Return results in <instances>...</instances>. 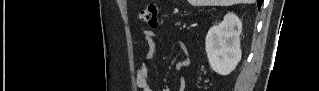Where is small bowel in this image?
I'll return each instance as SVG.
<instances>
[{
  "label": "small bowel",
  "mask_w": 319,
  "mask_h": 91,
  "mask_svg": "<svg viewBox=\"0 0 319 91\" xmlns=\"http://www.w3.org/2000/svg\"><path fill=\"white\" fill-rule=\"evenodd\" d=\"M143 40L145 42L147 48L146 59L141 63V65L136 70V85L142 91H153L150 87L149 83V64L156 52V41H155V34L151 30H145L143 32ZM179 49L184 54V57L178 60L174 64L175 70H181L189 65V58H188V47L185 43H179ZM186 86V79L184 76H181L178 80V90L183 91Z\"/></svg>",
  "instance_id": "obj_1"
}]
</instances>
